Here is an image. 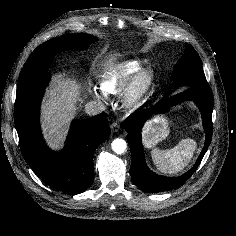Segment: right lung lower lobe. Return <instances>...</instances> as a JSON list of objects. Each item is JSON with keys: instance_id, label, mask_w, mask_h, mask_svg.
I'll use <instances>...</instances> for the list:
<instances>
[{"instance_id": "obj_1", "label": "right lung lower lobe", "mask_w": 236, "mask_h": 236, "mask_svg": "<svg viewBox=\"0 0 236 236\" xmlns=\"http://www.w3.org/2000/svg\"><path fill=\"white\" fill-rule=\"evenodd\" d=\"M50 74L40 72L18 81L14 121L22 155L34 173L49 186L71 194L84 192L94 176L93 154L109 136L107 116L74 120L63 151L45 145L39 109Z\"/></svg>"}]
</instances>
